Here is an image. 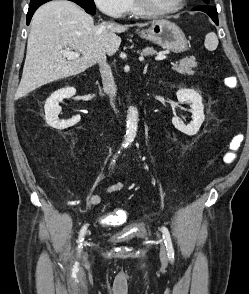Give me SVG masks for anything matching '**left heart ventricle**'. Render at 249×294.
Masks as SVG:
<instances>
[{
  "instance_id": "left-heart-ventricle-1",
  "label": "left heart ventricle",
  "mask_w": 249,
  "mask_h": 294,
  "mask_svg": "<svg viewBox=\"0 0 249 294\" xmlns=\"http://www.w3.org/2000/svg\"><path fill=\"white\" fill-rule=\"evenodd\" d=\"M178 0H147L148 5L155 10H166L172 8Z\"/></svg>"
}]
</instances>
